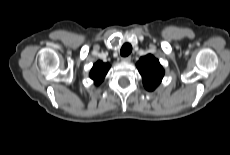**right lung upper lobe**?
<instances>
[{
  "label": "right lung upper lobe",
  "instance_id": "obj_1",
  "mask_svg": "<svg viewBox=\"0 0 230 155\" xmlns=\"http://www.w3.org/2000/svg\"><path fill=\"white\" fill-rule=\"evenodd\" d=\"M109 68L110 66L107 63H103L101 61L96 62L90 71V78L94 80L96 85L100 84L107 74Z\"/></svg>",
  "mask_w": 230,
  "mask_h": 155
}]
</instances>
